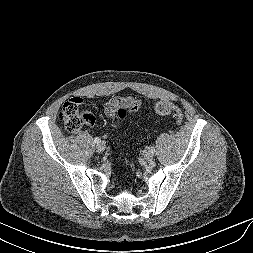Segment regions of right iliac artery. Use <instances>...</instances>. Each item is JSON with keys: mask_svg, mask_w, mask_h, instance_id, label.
I'll use <instances>...</instances> for the list:
<instances>
[{"mask_svg": "<svg viewBox=\"0 0 253 253\" xmlns=\"http://www.w3.org/2000/svg\"><path fill=\"white\" fill-rule=\"evenodd\" d=\"M94 143H95V144H99V143H101V139H100V138H98V137H96V138L94 139Z\"/></svg>", "mask_w": 253, "mask_h": 253, "instance_id": "right-iliac-artery-1", "label": "right iliac artery"}]
</instances>
